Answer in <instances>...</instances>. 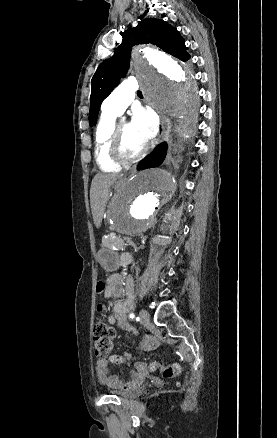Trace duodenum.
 I'll return each mask as SVG.
<instances>
[{"label": "duodenum", "instance_id": "410a0bca", "mask_svg": "<svg viewBox=\"0 0 277 438\" xmlns=\"http://www.w3.org/2000/svg\"><path fill=\"white\" fill-rule=\"evenodd\" d=\"M132 256L130 253H122L119 257L120 265H128L131 262Z\"/></svg>", "mask_w": 277, "mask_h": 438}]
</instances>
